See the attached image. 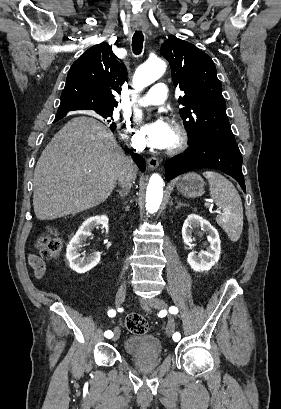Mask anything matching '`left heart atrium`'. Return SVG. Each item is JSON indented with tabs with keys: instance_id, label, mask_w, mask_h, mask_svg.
<instances>
[{
	"instance_id": "obj_1",
	"label": "left heart atrium",
	"mask_w": 281,
	"mask_h": 409,
	"mask_svg": "<svg viewBox=\"0 0 281 409\" xmlns=\"http://www.w3.org/2000/svg\"><path fill=\"white\" fill-rule=\"evenodd\" d=\"M170 133L171 129L168 123L163 119H158L142 127L140 138L146 146L165 149L170 138Z\"/></svg>"
}]
</instances>
